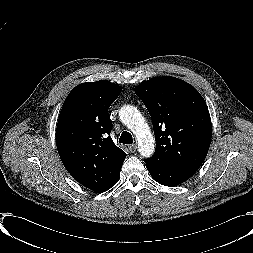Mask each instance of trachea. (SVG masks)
I'll return each mask as SVG.
<instances>
[{"label":"trachea","instance_id":"1","mask_svg":"<svg viewBox=\"0 0 253 253\" xmlns=\"http://www.w3.org/2000/svg\"><path fill=\"white\" fill-rule=\"evenodd\" d=\"M119 143L132 144L133 143L132 135L127 131L122 132L119 138Z\"/></svg>","mask_w":253,"mask_h":253}]
</instances>
